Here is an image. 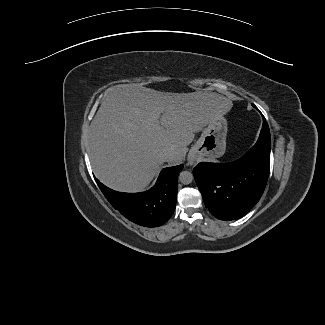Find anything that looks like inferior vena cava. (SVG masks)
<instances>
[{
	"label": "inferior vena cava",
	"mask_w": 325,
	"mask_h": 325,
	"mask_svg": "<svg viewBox=\"0 0 325 325\" xmlns=\"http://www.w3.org/2000/svg\"><path fill=\"white\" fill-rule=\"evenodd\" d=\"M173 154L171 151H164L162 152L161 154V159L164 161V162H168L171 158H172Z\"/></svg>",
	"instance_id": "1"
}]
</instances>
